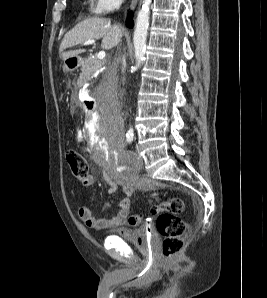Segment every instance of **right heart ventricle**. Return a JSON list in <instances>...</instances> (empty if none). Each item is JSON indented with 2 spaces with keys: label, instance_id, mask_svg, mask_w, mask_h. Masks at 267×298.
<instances>
[{
  "label": "right heart ventricle",
  "instance_id": "obj_1",
  "mask_svg": "<svg viewBox=\"0 0 267 298\" xmlns=\"http://www.w3.org/2000/svg\"><path fill=\"white\" fill-rule=\"evenodd\" d=\"M89 10L91 13H97L96 11V1L95 0H88Z\"/></svg>",
  "mask_w": 267,
  "mask_h": 298
}]
</instances>
